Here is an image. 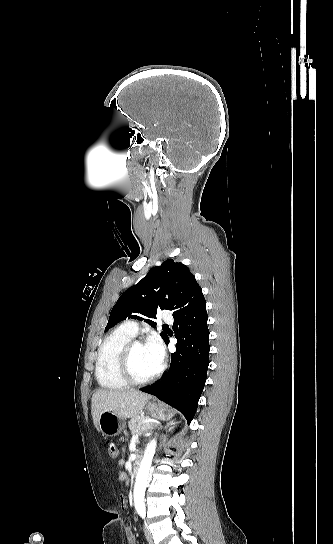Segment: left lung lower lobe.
<instances>
[{
  "instance_id": "1",
  "label": "left lung lower lobe",
  "mask_w": 333,
  "mask_h": 544,
  "mask_svg": "<svg viewBox=\"0 0 333 544\" xmlns=\"http://www.w3.org/2000/svg\"><path fill=\"white\" fill-rule=\"evenodd\" d=\"M173 317L177 344L176 352L171 354L170 368L158 383L141 391L176 408L190 423L205 386L209 365L208 316L203 294ZM164 341L168 345V336Z\"/></svg>"
}]
</instances>
